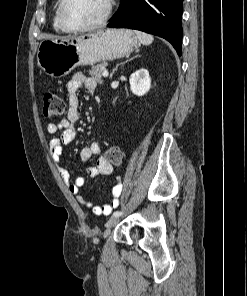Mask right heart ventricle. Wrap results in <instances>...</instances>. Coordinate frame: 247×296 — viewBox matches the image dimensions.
<instances>
[{
	"label": "right heart ventricle",
	"mask_w": 247,
	"mask_h": 296,
	"mask_svg": "<svg viewBox=\"0 0 247 296\" xmlns=\"http://www.w3.org/2000/svg\"><path fill=\"white\" fill-rule=\"evenodd\" d=\"M59 4H60V0H58V3H57L56 8H55V12H54V16H53V28L57 32H65L61 28V26L59 24V20H58V8H59Z\"/></svg>",
	"instance_id": "obj_1"
}]
</instances>
